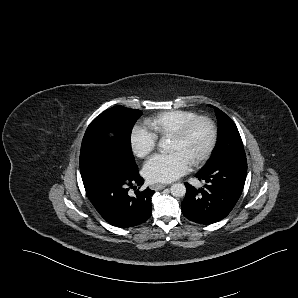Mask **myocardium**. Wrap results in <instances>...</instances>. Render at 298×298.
Instances as JSON below:
<instances>
[{
  "instance_id": "myocardium-1",
  "label": "myocardium",
  "mask_w": 298,
  "mask_h": 298,
  "mask_svg": "<svg viewBox=\"0 0 298 298\" xmlns=\"http://www.w3.org/2000/svg\"><path fill=\"white\" fill-rule=\"evenodd\" d=\"M200 123L204 124L206 127V140L201 151L190 161L189 163L190 167L199 163L210 152V149L213 143V138H214V129H213L212 122L207 117L198 116L188 122L180 124L174 130L167 133L162 139V144H163L166 141L181 138L182 136L187 134L193 127H195L197 124H200Z\"/></svg>"
}]
</instances>
